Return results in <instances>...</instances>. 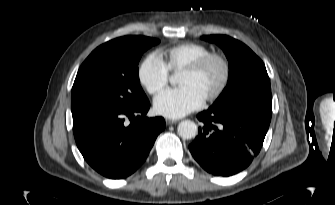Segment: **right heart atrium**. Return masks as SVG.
Returning <instances> with one entry per match:
<instances>
[{
  "instance_id": "d8ad5b80",
  "label": "right heart atrium",
  "mask_w": 335,
  "mask_h": 205,
  "mask_svg": "<svg viewBox=\"0 0 335 205\" xmlns=\"http://www.w3.org/2000/svg\"><path fill=\"white\" fill-rule=\"evenodd\" d=\"M138 80L152 95L159 93L167 85L169 70L158 54L151 53L144 58L138 69Z\"/></svg>"
}]
</instances>
